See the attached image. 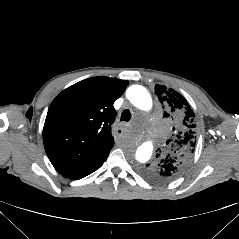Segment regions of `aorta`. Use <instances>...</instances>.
<instances>
[{
  "mask_svg": "<svg viewBox=\"0 0 239 239\" xmlns=\"http://www.w3.org/2000/svg\"><path fill=\"white\" fill-rule=\"evenodd\" d=\"M126 96L128 100L138 109L148 111L152 107V99L148 91L140 85H133L127 89ZM139 137V146L136 149L135 154L131 157L138 164H144L147 162L153 151V145L148 142L140 144V134L136 133Z\"/></svg>",
  "mask_w": 239,
  "mask_h": 239,
  "instance_id": "762f6f07",
  "label": "aorta"
}]
</instances>
